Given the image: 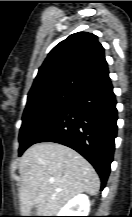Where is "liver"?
Returning a JSON list of instances; mask_svg holds the SVG:
<instances>
[{"label": "liver", "instance_id": "1", "mask_svg": "<svg viewBox=\"0 0 132 217\" xmlns=\"http://www.w3.org/2000/svg\"><path fill=\"white\" fill-rule=\"evenodd\" d=\"M19 191L23 216H55L73 197L83 192L93 196L100 179L92 165L75 150L45 142L28 148L20 159Z\"/></svg>", "mask_w": 132, "mask_h": 217}]
</instances>
